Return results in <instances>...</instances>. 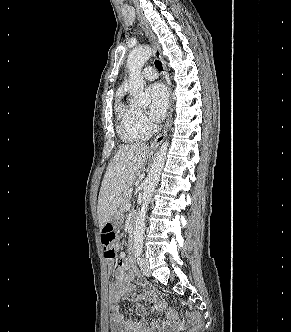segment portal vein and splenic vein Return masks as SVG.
I'll use <instances>...</instances> for the list:
<instances>
[{
	"mask_svg": "<svg viewBox=\"0 0 291 332\" xmlns=\"http://www.w3.org/2000/svg\"><path fill=\"white\" fill-rule=\"evenodd\" d=\"M130 207H131V204L128 203V204L126 205V209H130Z\"/></svg>",
	"mask_w": 291,
	"mask_h": 332,
	"instance_id": "portal-vein-and-splenic-vein-1",
	"label": "portal vein and splenic vein"
}]
</instances>
